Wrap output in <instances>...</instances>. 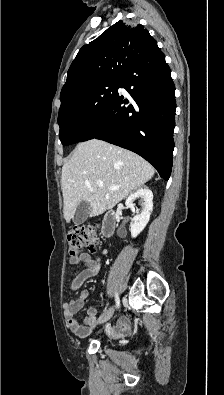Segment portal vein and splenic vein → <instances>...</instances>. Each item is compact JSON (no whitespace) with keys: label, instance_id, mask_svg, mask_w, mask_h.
Here are the masks:
<instances>
[{"label":"portal vein and splenic vein","instance_id":"1","mask_svg":"<svg viewBox=\"0 0 224 395\" xmlns=\"http://www.w3.org/2000/svg\"><path fill=\"white\" fill-rule=\"evenodd\" d=\"M97 185L99 186V187H103V182L102 181H98L97 182ZM110 190H117V189H119V186H111L110 188H109Z\"/></svg>","mask_w":224,"mask_h":395}]
</instances>
